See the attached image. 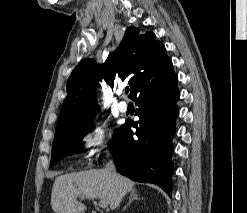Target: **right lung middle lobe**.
Masks as SVG:
<instances>
[{"mask_svg": "<svg viewBox=\"0 0 247 213\" xmlns=\"http://www.w3.org/2000/svg\"><path fill=\"white\" fill-rule=\"evenodd\" d=\"M90 122L67 128L55 134L54 141L52 144V155L51 163L54 165L60 159L67 155L74 154L81 150L80 145L82 144V137L89 132L88 125ZM119 129L115 130L112 140L110 141L109 147L114 143L119 133Z\"/></svg>", "mask_w": 247, "mask_h": 213, "instance_id": "dd1d6c3e", "label": "right lung middle lobe"}]
</instances>
